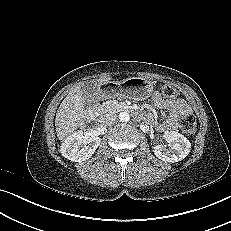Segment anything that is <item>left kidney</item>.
I'll return each mask as SVG.
<instances>
[{
  "mask_svg": "<svg viewBox=\"0 0 231 231\" xmlns=\"http://www.w3.org/2000/svg\"><path fill=\"white\" fill-rule=\"evenodd\" d=\"M164 139L169 143L166 145H157L154 147V154L164 162H178L183 160L191 150V143L182 134L176 131H165Z\"/></svg>",
  "mask_w": 231,
  "mask_h": 231,
  "instance_id": "5707ae66",
  "label": "left kidney"
}]
</instances>
